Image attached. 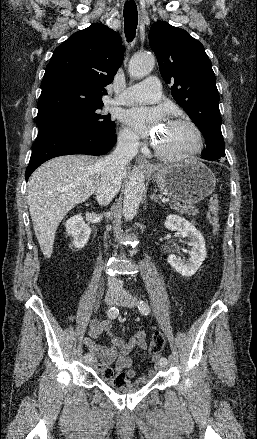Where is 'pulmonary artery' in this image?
<instances>
[{
  "mask_svg": "<svg viewBox=\"0 0 257 439\" xmlns=\"http://www.w3.org/2000/svg\"><path fill=\"white\" fill-rule=\"evenodd\" d=\"M161 97L160 82L156 77H149L143 82L125 89L115 95L112 103L133 105L139 103H154Z\"/></svg>",
  "mask_w": 257,
  "mask_h": 439,
  "instance_id": "1",
  "label": "pulmonary artery"
}]
</instances>
